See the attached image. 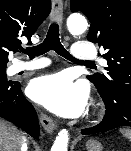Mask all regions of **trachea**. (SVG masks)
<instances>
[{
    "label": "trachea",
    "mask_w": 131,
    "mask_h": 151,
    "mask_svg": "<svg viewBox=\"0 0 131 151\" xmlns=\"http://www.w3.org/2000/svg\"><path fill=\"white\" fill-rule=\"evenodd\" d=\"M50 50H54L58 55L74 62H79L87 65H94L93 62L79 61L75 59L61 44L59 38V26L56 23L51 24L44 41L34 47L23 49L22 52L27 54L31 59L42 55Z\"/></svg>",
    "instance_id": "3493384b"
}]
</instances>
